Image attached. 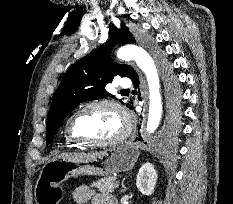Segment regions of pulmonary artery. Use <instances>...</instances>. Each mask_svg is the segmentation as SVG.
<instances>
[{"label":"pulmonary artery","mask_w":233,"mask_h":204,"mask_svg":"<svg viewBox=\"0 0 233 204\" xmlns=\"http://www.w3.org/2000/svg\"><path fill=\"white\" fill-rule=\"evenodd\" d=\"M131 85H132V81H131V79H129L127 77H124L119 81V86L121 88H124V89L130 88Z\"/></svg>","instance_id":"e3ab8cb5"}]
</instances>
